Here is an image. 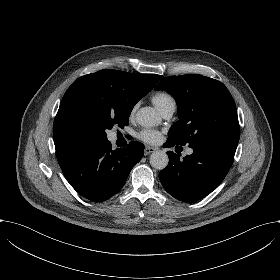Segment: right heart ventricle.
<instances>
[{"instance_id": "1", "label": "right heart ventricle", "mask_w": 280, "mask_h": 280, "mask_svg": "<svg viewBox=\"0 0 280 280\" xmlns=\"http://www.w3.org/2000/svg\"><path fill=\"white\" fill-rule=\"evenodd\" d=\"M151 100L162 113L164 110L170 107L175 108V99L167 92H156L155 94H153Z\"/></svg>"}]
</instances>
